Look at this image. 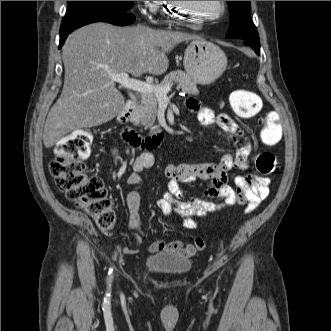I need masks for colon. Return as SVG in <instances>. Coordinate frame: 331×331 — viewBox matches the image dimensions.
Listing matches in <instances>:
<instances>
[{"mask_svg": "<svg viewBox=\"0 0 331 331\" xmlns=\"http://www.w3.org/2000/svg\"><path fill=\"white\" fill-rule=\"evenodd\" d=\"M233 112L240 118H252L262 109L261 98L249 90L240 89L230 96ZM261 140L265 145L273 146L280 142L282 127L279 116L269 113L262 121ZM92 135L85 130L70 133L58 141L55 157L49 165L56 186L68 200L78 208L85 210L101 230H109L115 222L112 202L107 196V189L101 178L86 172L84 160L89 156ZM256 170L263 175L272 173L276 168L273 153L264 151L255 160ZM197 249H204L206 240L194 239Z\"/></svg>", "mask_w": 331, "mask_h": 331, "instance_id": "obj_1", "label": "colon"}]
</instances>
